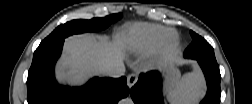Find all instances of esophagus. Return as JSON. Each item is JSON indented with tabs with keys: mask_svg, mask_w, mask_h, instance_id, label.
Here are the masks:
<instances>
[{
	"mask_svg": "<svg viewBox=\"0 0 252 104\" xmlns=\"http://www.w3.org/2000/svg\"><path fill=\"white\" fill-rule=\"evenodd\" d=\"M138 80V75L135 73H132L130 75H128L127 77V85L129 88L133 87L135 85V83Z\"/></svg>",
	"mask_w": 252,
	"mask_h": 104,
	"instance_id": "obj_1",
	"label": "esophagus"
}]
</instances>
